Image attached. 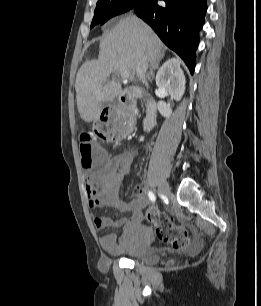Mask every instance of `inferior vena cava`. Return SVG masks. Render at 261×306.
Here are the masks:
<instances>
[{"mask_svg":"<svg viewBox=\"0 0 261 306\" xmlns=\"http://www.w3.org/2000/svg\"><path fill=\"white\" fill-rule=\"evenodd\" d=\"M149 66V61L147 57H143L139 63L137 64L136 72L140 80L143 84L148 86V81H151V78L149 77V74H147V69Z\"/></svg>","mask_w":261,"mask_h":306,"instance_id":"obj_1","label":"inferior vena cava"}]
</instances>
